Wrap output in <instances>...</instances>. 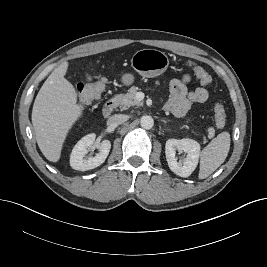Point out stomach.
Masks as SVG:
<instances>
[{
	"mask_svg": "<svg viewBox=\"0 0 267 267\" xmlns=\"http://www.w3.org/2000/svg\"><path fill=\"white\" fill-rule=\"evenodd\" d=\"M131 66L141 76L153 78L164 73L169 66L168 56L156 49H142L135 52L131 58ZM135 80L132 73H124L121 82L129 86Z\"/></svg>",
	"mask_w": 267,
	"mask_h": 267,
	"instance_id": "1",
	"label": "stomach"
}]
</instances>
